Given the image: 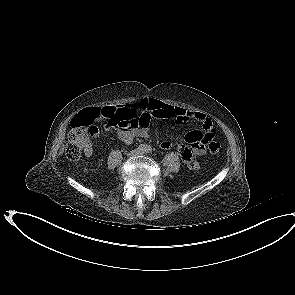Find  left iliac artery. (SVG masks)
I'll return each instance as SVG.
<instances>
[{
    "label": "left iliac artery",
    "mask_w": 295,
    "mask_h": 295,
    "mask_svg": "<svg viewBox=\"0 0 295 295\" xmlns=\"http://www.w3.org/2000/svg\"><path fill=\"white\" fill-rule=\"evenodd\" d=\"M145 151L147 153H151L152 152V148L150 146H147L146 149H145Z\"/></svg>",
    "instance_id": "obj_1"
}]
</instances>
